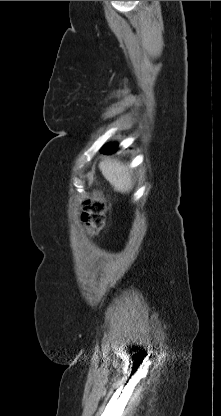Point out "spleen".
Segmentation results:
<instances>
[{
    "label": "spleen",
    "mask_w": 221,
    "mask_h": 416,
    "mask_svg": "<svg viewBox=\"0 0 221 416\" xmlns=\"http://www.w3.org/2000/svg\"><path fill=\"white\" fill-rule=\"evenodd\" d=\"M99 168L116 191L125 193L133 188L134 180L123 163L107 159L100 162Z\"/></svg>",
    "instance_id": "obj_1"
}]
</instances>
